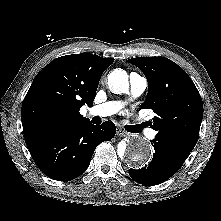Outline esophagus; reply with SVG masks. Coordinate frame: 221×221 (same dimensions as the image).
Wrapping results in <instances>:
<instances>
[{
    "label": "esophagus",
    "mask_w": 221,
    "mask_h": 221,
    "mask_svg": "<svg viewBox=\"0 0 221 221\" xmlns=\"http://www.w3.org/2000/svg\"><path fill=\"white\" fill-rule=\"evenodd\" d=\"M116 135H117L118 137H124V136L127 135V133H126L124 130H122L121 128H117V129H116Z\"/></svg>",
    "instance_id": "esophagus-1"
}]
</instances>
